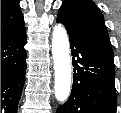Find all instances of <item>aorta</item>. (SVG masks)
<instances>
[{
  "label": "aorta",
  "instance_id": "obj_1",
  "mask_svg": "<svg viewBox=\"0 0 121 113\" xmlns=\"http://www.w3.org/2000/svg\"><path fill=\"white\" fill-rule=\"evenodd\" d=\"M52 54L55 69V97L65 102L70 94L71 62L69 55V40L65 28L55 25L52 34Z\"/></svg>",
  "mask_w": 121,
  "mask_h": 113
}]
</instances>
